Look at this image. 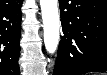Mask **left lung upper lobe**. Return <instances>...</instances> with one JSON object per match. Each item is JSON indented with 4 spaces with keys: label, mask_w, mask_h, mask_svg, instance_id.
Segmentation results:
<instances>
[{
    "label": "left lung upper lobe",
    "mask_w": 107,
    "mask_h": 75,
    "mask_svg": "<svg viewBox=\"0 0 107 75\" xmlns=\"http://www.w3.org/2000/svg\"><path fill=\"white\" fill-rule=\"evenodd\" d=\"M68 25H69V28H68L66 38L74 41H76L77 39H80L84 31V27L81 23L80 18L74 17V19L71 21V23H68Z\"/></svg>",
    "instance_id": "left-lung-upper-lobe-1"
}]
</instances>
